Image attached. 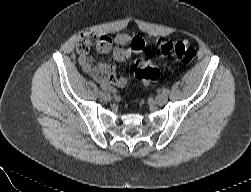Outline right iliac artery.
<instances>
[{
	"instance_id": "obj_1",
	"label": "right iliac artery",
	"mask_w": 251,
	"mask_h": 192,
	"mask_svg": "<svg viewBox=\"0 0 251 192\" xmlns=\"http://www.w3.org/2000/svg\"><path fill=\"white\" fill-rule=\"evenodd\" d=\"M104 94H105V92H104V91H100V92H99L100 97H103V96H104Z\"/></svg>"
}]
</instances>
